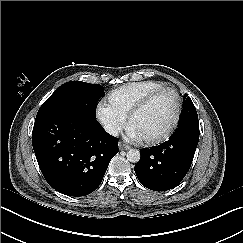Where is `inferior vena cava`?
<instances>
[{
	"label": "inferior vena cava",
	"instance_id": "inferior-vena-cava-1",
	"mask_svg": "<svg viewBox=\"0 0 243 243\" xmlns=\"http://www.w3.org/2000/svg\"><path fill=\"white\" fill-rule=\"evenodd\" d=\"M104 128L107 133L115 137L119 136V133L121 132V128L116 124H108Z\"/></svg>",
	"mask_w": 243,
	"mask_h": 243
}]
</instances>
